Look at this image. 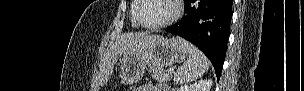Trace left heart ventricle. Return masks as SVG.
<instances>
[{"label": "left heart ventricle", "instance_id": "b2bd125f", "mask_svg": "<svg viewBox=\"0 0 304 91\" xmlns=\"http://www.w3.org/2000/svg\"><path fill=\"white\" fill-rule=\"evenodd\" d=\"M173 13L171 0H144L140 17L146 24H157L170 18Z\"/></svg>", "mask_w": 304, "mask_h": 91}]
</instances>
